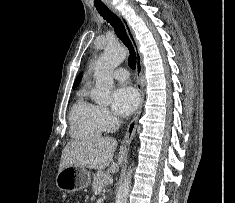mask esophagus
<instances>
[{
    "mask_svg": "<svg viewBox=\"0 0 235 203\" xmlns=\"http://www.w3.org/2000/svg\"><path fill=\"white\" fill-rule=\"evenodd\" d=\"M108 7L122 21V23L126 29V32L128 34V37L130 38V40L133 44V47L135 49V52H136V77H137V89L140 93V104H139L138 110L136 111L135 115L133 116L132 120L130 121V123L127 127V131H126L125 136L122 141L123 144L129 145L132 142L133 137L135 135L137 122H138L139 116L141 114L142 106H143V102H144V92H143V83H142V71H143L142 55L139 51V43L135 37L134 31H133L131 25L129 24L127 19L124 18V16L120 13V11H118L116 9V7L113 6L112 4H108Z\"/></svg>",
    "mask_w": 235,
    "mask_h": 203,
    "instance_id": "34e87169",
    "label": "esophagus"
}]
</instances>
